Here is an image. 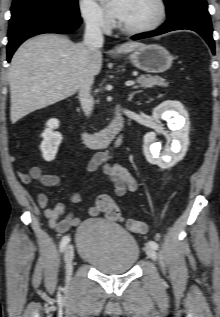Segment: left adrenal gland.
Here are the masks:
<instances>
[{
    "mask_svg": "<svg viewBox=\"0 0 220 317\" xmlns=\"http://www.w3.org/2000/svg\"><path fill=\"white\" fill-rule=\"evenodd\" d=\"M136 93H138V91L132 92V93L129 95L128 101H132L133 96H134Z\"/></svg>",
    "mask_w": 220,
    "mask_h": 317,
    "instance_id": "a2214340",
    "label": "left adrenal gland"
}]
</instances>
